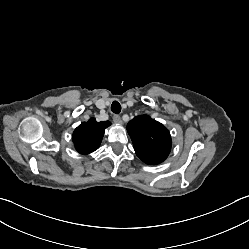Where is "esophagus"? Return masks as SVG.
<instances>
[{
    "label": "esophagus",
    "instance_id": "esophagus-1",
    "mask_svg": "<svg viewBox=\"0 0 249 249\" xmlns=\"http://www.w3.org/2000/svg\"><path fill=\"white\" fill-rule=\"evenodd\" d=\"M113 121L116 123V124H122V120H121V117L119 115H114L113 116Z\"/></svg>",
    "mask_w": 249,
    "mask_h": 249
}]
</instances>
